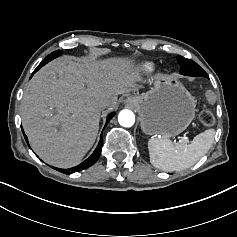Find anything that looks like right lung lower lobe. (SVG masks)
I'll use <instances>...</instances> for the list:
<instances>
[{
    "mask_svg": "<svg viewBox=\"0 0 237 237\" xmlns=\"http://www.w3.org/2000/svg\"><path fill=\"white\" fill-rule=\"evenodd\" d=\"M33 73H35V72H33ZM113 116H114V113H112L108 116L107 123H108V121H110V119ZM107 123H106V125H107ZM23 133H24V131H23ZM24 137H25V140L28 142V139H27L25 134H24ZM102 145H103V137L101 136L100 141H99L98 146L95 149V151L92 153V155L88 159H86L81 164H79V165H77L73 168H69V169H59V168H55V167H52V168L55 169V170H58L59 172L64 173V174H71V173H74V172L82 171V170L92 166L98 160V158L101 154Z\"/></svg>",
    "mask_w": 237,
    "mask_h": 237,
    "instance_id": "98d812e1",
    "label": "right lung lower lobe"
}]
</instances>
